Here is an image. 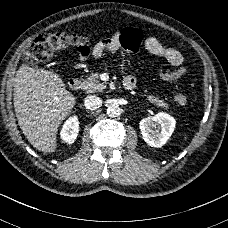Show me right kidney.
I'll return each instance as SVG.
<instances>
[{"instance_id":"right-kidney-1","label":"right kidney","mask_w":228,"mask_h":228,"mask_svg":"<svg viewBox=\"0 0 228 228\" xmlns=\"http://www.w3.org/2000/svg\"><path fill=\"white\" fill-rule=\"evenodd\" d=\"M78 135V120L76 117L70 118L63 127L61 136L64 141L73 143Z\"/></svg>"}]
</instances>
